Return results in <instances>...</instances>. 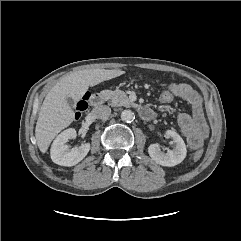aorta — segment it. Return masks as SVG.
Masks as SVG:
<instances>
[{"label": "aorta", "mask_w": 241, "mask_h": 241, "mask_svg": "<svg viewBox=\"0 0 241 241\" xmlns=\"http://www.w3.org/2000/svg\"><path fill=\"white\" fill-rule=\"evenodd\" d=\"M135 116L131 110H123L121 113V120L124 122H132Z\"/></svg>", "instance_id": "762f6f07"}]
</instances>
